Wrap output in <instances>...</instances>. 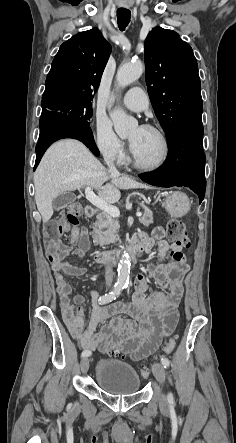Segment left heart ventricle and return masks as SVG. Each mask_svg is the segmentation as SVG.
Segmentation results:
<instances>
[{
  "label": "left heart ventricle",
  "mask_w": 236,
  "mask_h": 443,
  "mask_svg": "<svg viewBox=\"0 0 236 443\" xmlns=\"http://www.w3.org/2000/svg\"><path fill=\"white\" fill-rule=\"evenodd\" d=\"M130 140L136 141L133 150L138 159L146 164L156 163L162 156V143L153 131L146 128H134L129 134Z\"/></svg>",
  "instance_id": "1"
}]
</instances>
